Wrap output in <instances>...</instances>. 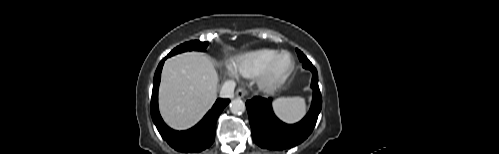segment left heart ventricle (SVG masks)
I'll return each instance as SVG.
<instances>
[{"label":"left heart ventricle","instance_id":"b2bd125f","mask_svg":"<svg viewBox=\"0 0 499 154\" xmlns=\"http://www.w3.org/2000/svg\"><path fill=\"white\" fill-rule=\"evenodd\" d=\"M287 62L285 59H281L278 63V68L283 69L286 66Z\"/></svg>","mask_w":499,"mask_h":154}]
</instances>
